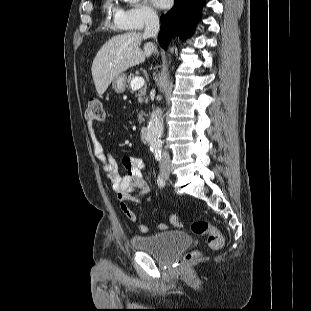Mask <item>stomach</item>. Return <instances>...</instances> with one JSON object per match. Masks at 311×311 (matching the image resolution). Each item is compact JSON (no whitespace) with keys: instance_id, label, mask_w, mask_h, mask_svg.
<instances>
[{"instance_id":"obj_1","label":"stomach","mask_w":311,"mask_h":311,"mask_svg":"<svg viewBox=\"0 0 311 311\" xmlns=\"http://www.w3.org/2000/svg\"><path fill=\"white\" fill-rule=\"evenodd\" d=\"M125 87H126V76L124 74H121V75L117 76L112 81V88L117 93H123L125 91Z\"/></svg>"}]
</instances>
